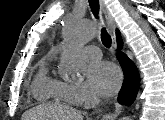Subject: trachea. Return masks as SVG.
<instances>
[{
	"mask_svg": "<svg viewBox=\"0 0 165 120\" xmlns=\"http://www.w3.org/2000/svg\"><path fill=\"white\" fill-rule=\"evenodd\" d=\"M91 11L93 12L94 16L98 19L99 18V1L98 0H88ZM101 41L103 45L107 48L111 46V36L108 34L106 29L103 27L101 30Z\"/></svg>",
	"mask_w": 165,
	"mask_h": 120,
	"instance_id": "1",
	"label": "trachea"
}]
</instances>
